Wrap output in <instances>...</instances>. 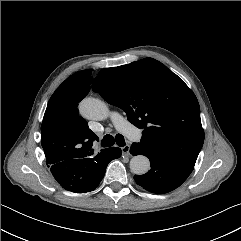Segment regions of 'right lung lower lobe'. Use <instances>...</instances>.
Wrapping results in <instances>:
<instances>
[{
    "mask_svg": "<svg viewBox=\"0 0 241 241\" xmlns=\"http://www.w3.org/2000/svg\"><path fill=\"white\" fill-rule=\"evenodd\" d=\"M121 154L120 148L111 147L94 156L48 162V164L54 178L64 189L84 193L94 190L99 185L108 163L119 158Z\"/></svg>",
    "mask_w": 241,
    "mask_h": 241,
    "instance_id": "1",
    "label": "right lung lower lobe"
}]
</instances>
